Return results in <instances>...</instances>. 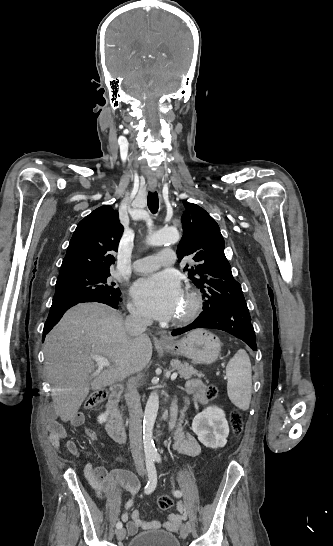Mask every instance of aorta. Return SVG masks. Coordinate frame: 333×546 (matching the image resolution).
<instances>
[{
    "mask_svg": "<svg viewBox=\"0 0 333 546\" xmlns=\"http://www.w3.org/2000/svg\"><path fill=\"white\" fill-rule=\"evenodd\" d=\"M180 239V235L175 229H161L150 233L147 237V244L152 246H161L165 243H176ZM159 408V396L156 391H153L146 403L144 420H143V445L146 455L157 453V449L153 440V428L156 421Z\"/></svg>",
    "mask_w": 333,
    "mask_h": 546,
    "instance_id": "1",
    "label": "aorta"
}]
</instances>
